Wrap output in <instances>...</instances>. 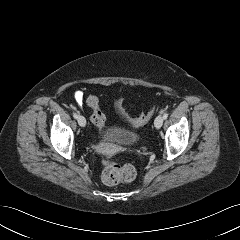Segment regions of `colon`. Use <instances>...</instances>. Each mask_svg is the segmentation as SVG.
I'll return each mask as SVG.
<instances>
[{"label": "colon", "mask_w": 240, "mask_h": 240, "mask_svg": "<svg viewBox=\"0 0 240 240\" xmlns=\"http://www.w3.org/2000/svg\"><path fill=\"white\" fill-rule=\"evenodd\" d=\"M88 106L92 109L91 121L102 132H105V115L103 114L99 100L94 95L86 99ZM123 99L120 97L115 101V107L119 115L128 123L139 126L147 123L155 114V107H152L146 114L131 118L123 108ZM136 177V169L131 164L121 165L111 162L102 171V180L106 185H117L122 182H130Z\"/></svg>", "instance_id": "5ec220e1"}]
</instances>
